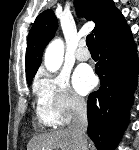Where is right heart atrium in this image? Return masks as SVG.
<instances>
[{
    "label": "right heart atrium",
    "mask_w": 139,
    "mask_h": 150,
    "mask_svg": "<svg viewBox=\"0 0 139 150\" xmlns=\"http://www.w3.org/2000/svg\"><path fill=\"white\" fill-rule=\"evenodd\" d=\"M34 89L39 105L53 126L65 125L86 110L84 99L72 89L65 72L41 75Z\"/></svg>",
    "instance_id": "right-heart-atrium-1"
}]
</instances>
